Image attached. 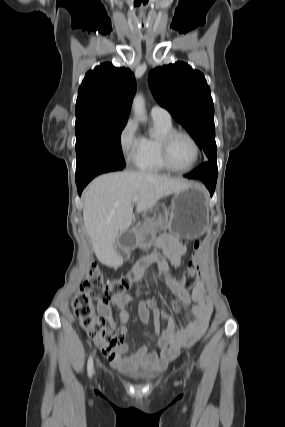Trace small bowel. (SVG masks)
I'll use <instances>...</instances> for the list:
<instances>
[{
    "label": "small bowel",
    "instance_id": "c3829d8e",
    "mask_svg": "<svg viewBox=\"0 0 285 427\" xmlns=\"http://www.w3.org/2000/svg\"><path fill=\"white\" fill-rule=\"evenodd\" d=\"M156 245L161 253L153 252L136 262L132 267V283L134 285L147 283V281L142 280L146 266L151 262H157L165 276L170 292L182 304H192L194 319L189 321L186 327L178 328L175 319L170 314L162 312L154 299L136 301L128 293H122L112 299V304L118 311V319L113 317L109 304L98 302L99 314L112 329L118 332L122 339L128 334L126 323L129 320V314L125 310L128 304L137 302L138 315L144 324L149 322V310L153 312L154 331L150 342L158 348L157 351H149L147 346H140L131 351L127 344L122 343L113 356L105 353L111 364L125 371H134L138 368L145 371L165 369L168 363L179 355L181 349L191 347L204 335L213 309L203 282H198L192 293L189 294L168 270L164 257L174 266L179 267L182 257L187 253V249L181 240L174 234H162L157 238ZM161 318L167 321L162 332H160Z\"/></svg>",
    "mask_w": 285,
    "mask_h": 427
}]
</instances>
